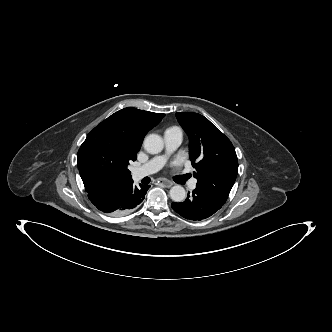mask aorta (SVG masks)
Masks as SVG:
<instances>
[{
	"instance_id": "aorta-1",
	"label": "aorta",
	"mask_w": 332,
	"mask_h": 332,
	"mask_svg": "<svg viewBox=\"0 0 332 332\" xmlns=\"http://www.w3.org/2000/svg\"><path fill=\"white\" fill-rule=\"evenodd\" d=\"M164 142L160 135L150 134L144 139V149L150 154H158L163 150ZM170 197L174 202H183L186 198L185 189L176 185L170 189Z\"/></svg>"
}]
</instances>
